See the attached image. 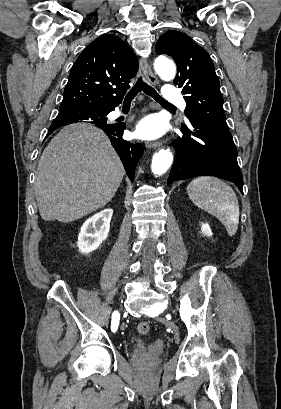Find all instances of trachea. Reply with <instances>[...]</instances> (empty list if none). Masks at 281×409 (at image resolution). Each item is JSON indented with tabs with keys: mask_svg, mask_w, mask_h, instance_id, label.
<instances>
[{
	"mask_svg": "<svg viewBox=\"0 0 281 409\" xmlns=\"http://www.w3.org/2000/svg\"><path fill=\"white\" fill-rule=\"evenodd\" d=\"M139 92H144L146 95H149L150 97H153L156 102H159L160 104H166V105H172L170 102H167L164 98H162L156 90L148 85L142 77H139L137 83L134 85V87L127 93L124 99V103H130L132 100L136 97V95Z\"/></svg>",
	"mask_w": 281,
	"mask_h": 409,
	"instance_id": "1",
	"label": "trachea"
}]
</instances>
